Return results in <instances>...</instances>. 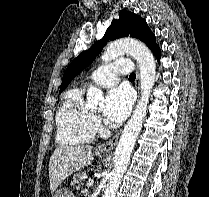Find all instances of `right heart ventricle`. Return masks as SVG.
Instances as JSON below:
<instances>
[{"instance_id":"right-heart-ventricle-1","label":"right heart ventricle","mask_w":209,"mask_h":197,"mask_svg":"<svg viewBox=\"0 0 209 197\" xmlns=\"http://www.w3.org/2000/svg\"><path fill=\"white\" fill-rule=\"evenodd\" d=\"M56 140L61 145L91 142L95 135L91 112L83 104V88L66 92L56 114Z\"/></svg>"}]
</instances>
